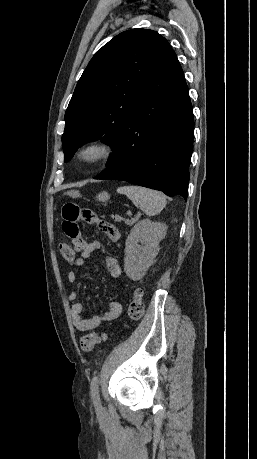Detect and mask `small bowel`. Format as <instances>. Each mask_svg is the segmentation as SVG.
<instances>
[{"mask_svg":"<svg viewBox=\"0 0 257 459\" xmlns=\"http://www.w3.org/2000/svg\"><path fill=\"white\" fill-rule=\"evenodd\" d=\"M59 218L63 222L62 229L65 236H68L72 251H79V256L73 261V265L76 267H83L89 257L101 248V244L98 241L88 242V236L85 232H80V222H88L90 225H95L112 242H117L120 239L119 230L112 224L98 218L95 208H88L87 205H77L75 200L65 201V204L61 206ZM104 263L112 277H120L121 268L115 257L106 256ZM67 280L69 283L77 282L78 273L74 270L69 271ZM68 297L73 302L70 307L72 322L79 331L93 330L103 324L110 323L116 320L123 310L121 299H117L109 302L102 314L84 318L82 314L83 305L76 301L78 299V291L71 290Z\"/></svg>","mask_w":257,"mask_h":459,"instance_id":"1","label":"small bowel"}]
</instances>
